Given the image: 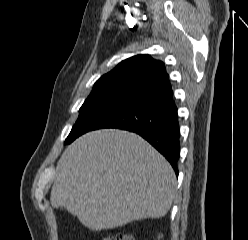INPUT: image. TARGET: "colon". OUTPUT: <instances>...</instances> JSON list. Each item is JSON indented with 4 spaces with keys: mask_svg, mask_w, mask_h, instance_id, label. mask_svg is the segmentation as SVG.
Instances as JSON below:
<instances>
[{
    "mask_svg": "<svg viewBox=\"0 0 248 240\" xmlns=\"http://www.w3.org/2000/svg\"><path fill=\"white\" fill-rule=\"evenodd\" d=\"M103 240H134L130 234L116 233L114 235L107 236Z\"/></svg>",
    "mask_w": 248,
    "mask_h": 240,
    "instance_id": "5ec220e1",
    "label": "colon"
}]
</instances>
